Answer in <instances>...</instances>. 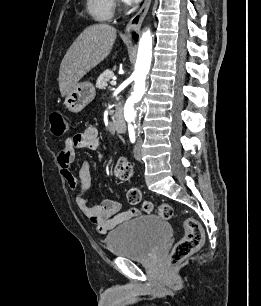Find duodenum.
<instances>
[{"instance_id": "obj_1", "label": "duodenum", "mask_w": 261, "mask_h": 306, "mask_svg": "<svg viewBox=\"0 0 261 306\" xmlns=\"http://www.w3.org/2000/svg\"><path fill=\"white\" fill-rule=\"evenodd\" d=\"M111 121L114 128L119 132L126 131V123L124 117L119 109H115L111 114Z\"/></svg>"}]
</instances>
